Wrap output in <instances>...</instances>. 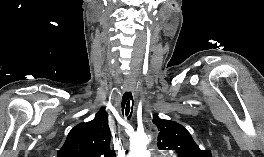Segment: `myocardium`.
Returning <instances> with one entry per match:
<instances>
[{
	"instance_id": "f54148a6",
	"label": "myocardium",
	"mask_w": 264,
	"mask_h": 157,
	"mask_svg": "<svg viewBox=\"0 0 264 157\" xmlns=\"http://www.w3.org/2000/svg\"><path fill=\"white\" fill-rule=\"evenodd\" d=\"M158 157H172V156L162 155V156H158Z\"/></svg>"
}]
</instances>
